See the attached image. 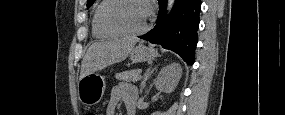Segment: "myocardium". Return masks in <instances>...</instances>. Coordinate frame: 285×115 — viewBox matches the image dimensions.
Returning <instances> with one entry per match:
<instances>
[{
    "label": "myocardium",
    "instance_id": "myocardium-1",
    "mask_svg": "<svg viewBox=\"0 0 285 115\" xmlns=\"http://www.w3.org/2000/svg\"><path fill=\"white\" fill-rule=\"evenodd\" d=\"M125 1H139L145 5L146 10H147V21L142 29L138 31H134V32L127 31L109 19V16H108L109 11ZM150 16H151L150 6L148 2L145 0H107L101 6V9L99 12V21L104 28L110 31H113L121 36L135 37V36H140L148 31L150 27Z\"/></svg>",
    "mask_w": 285,
    "mask_h": 115
}]
</instances>
